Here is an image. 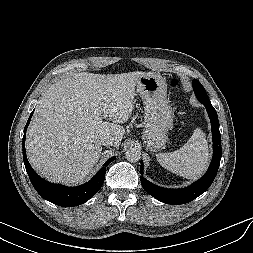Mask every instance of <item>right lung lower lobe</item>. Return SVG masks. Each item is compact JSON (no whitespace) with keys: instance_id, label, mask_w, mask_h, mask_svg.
Listing matches in <instances>:
<instances>
[{"instance_id":"obj_1","label":"right lung lower lobe","mask_w":253,"mask_h":253,"mask_svg":"<svg viewBox=\"0 0 253 253\" xmlns=\"http://www.w3.org/2000/svg\"><path fill=\"white\" fill-rule=\"evenodd\" d=\"M33 115L31 113L27 124L24 128V136H23V160L25 164L26 171L30 178V181L36 191L47 201H50L56 205L63 206V207H72L80 205L86 201H88L93 195H95L99 189L101 188L105 173H106V166L112 162L115 157L110 158L99 170V172L86 184L77 186V187H67L59 184H52L44 179H42L38 174L32 169L30 166L25 151V135L27 126L30 122V119Z\"/></svg>"}]
</instances>
